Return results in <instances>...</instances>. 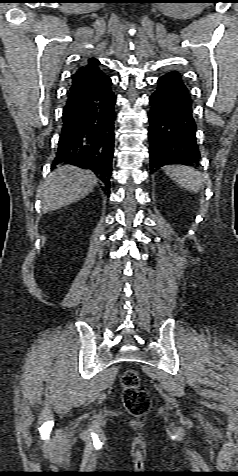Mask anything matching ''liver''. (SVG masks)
<instances>
[{
    "instance_id": "obj_1",
    "label": "liver",
    "mask_w": 238,
    "mask_h": 476,
    "mask_svg": "<svg viewBox=\"0 0 238 476\" xmlns=\"http://www.w3.org/2000/svg\"><path fill=\"white\" fill-rule=\"evenodd\" d=\"M97 182L98 178L89 170L71 165L58 167L42 186L43 212L79 201L93 190Z\"/></svg>"
}]
</instances>
